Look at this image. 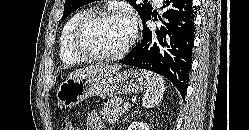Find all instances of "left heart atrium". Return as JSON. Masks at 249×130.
Listing matches in <instances>:
<instances>
[{
  "instance_id": "left-heart-atrium-1",
  "label": "left heart atrium",
  "mask_w": 249,
  "mask_h": 130,
  "mask_svg": "<svg viewBox=\"0 0 249 130\" xmlns=\"http://www.w3.org/2000/svg\"><path fill=\"white\" fill-rule=\"evenodd\" d=\"M123 17L126 19V21L128 22V24L130 25L132 31H134V29H135L134 18L130 14H128V13L125 14Z\"/></svg>"
}]
</instances>
